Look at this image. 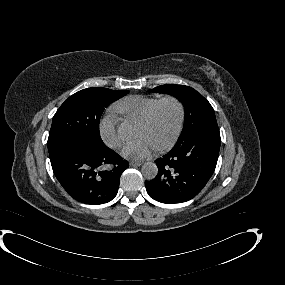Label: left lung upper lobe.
<instances>
[{"label":"left lung upper lobe","mask_w":285,"mask_h":285,"mask_svg":"<svg viewBox=\"0 0 285 285\" xmlns=\"http://www.w3.org/2000/svg\"><path fill=\"white\" fill-rule=\"evenodd\" d=\"M155 92L176 97L184 106L185 119L178 141L209 126H217L214 110L210 103L195 89L176 84H165L154 88Z\"/></svg>","instance_id":"left-lung-upper-lobe-1"}]
</instances>
